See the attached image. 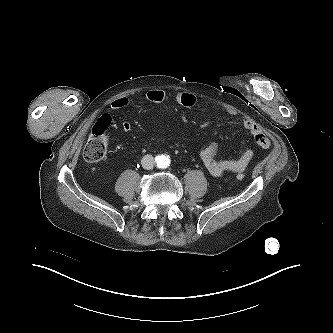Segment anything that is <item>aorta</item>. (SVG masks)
Listing matches in <instances>:
<instances>
[{
  "label": "aorta",
  "mask_w": 333,
  "mask_h": 333,
  "mask_svg": "<svg viewBox=\"0 0 333 333\" xmlns=\"http://www.w3.org/2000/svg\"><path fill=\"white\" fill-rule=\"evenodd\" d=\"M162 164H165V165L167 166V164H168V163H167V160H166V159H163V160H162Z\"/></svg>",
  "instance_id": "aorta-1"
}]
</instances>
